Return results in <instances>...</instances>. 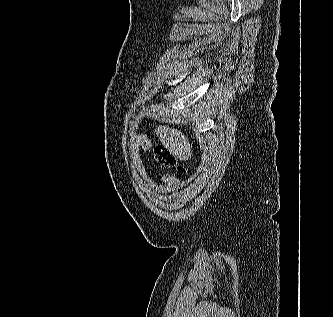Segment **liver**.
Listing matches in <instances>:
<instances>
[{"mask_svg":"<svg viewBox=\"0 0 333 317\" xmlns=\"http://www.w3.org/2000/svg\"><path fill=\"white\" fill-rule=\"evenodd\" d=\"M155 132L164 147L179 160L186 161L191 158L192 145L181 131L161 125Z\"/></svg>","mask_w":333,"mask_h":317,"instance_id":"liver-1","label":"liver"}]
</instances>
